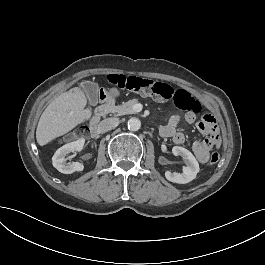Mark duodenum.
Segmentation results:
<instances>
[{"label":"duodenum","instance_id":"duodenum-1","mask_svg":"<svg viewBox=\"0 0 265 265\" xmlns=\"http://www.w3.org/2000/svg\"><path fill=\"white\" fill-rule=\"evenodd\" d=\"M101 91V96H100V103L99 105L96 107L91 122H90V126H89V132H97L99 133V120L116 111V108L114 107V99L112 96H110L109 94H106V90L105 89H100Z\"/></svg>","mask_w":265,"mask_h":265}]
</instances>
